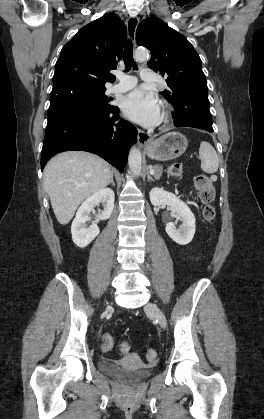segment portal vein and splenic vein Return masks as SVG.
I'll return each mask as SVG.
<instances>
[{
    "label": "portal vein and splenic vein",
    "instance_id": "18ae733b",
    "mask_svg": "<svg viewBox=\"0 0 264 419\" xmlns=\"http://www.w3.org/2000/svg\"><path fill=\"white\" fill-rule=\"evenodd\" d=\"M150 173L154 174V170L152 168H150Z\"/></svg>",
    "mask_w": 264,
    "mask_h": 419
}]
</instances>
